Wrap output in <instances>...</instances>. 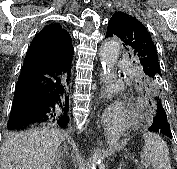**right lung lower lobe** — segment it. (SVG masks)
<instances>
[{"label":"right lung lower lobe","instance_id":"obj_1","mask_svg":"<svg viewBox=\"0 0 177 169\" xmlns=\"http://www.w3.org/2000/svg\"><path fill=\"white\" fill-rule=\"evenodd\" d=\"M71 63L26 58L15 88L8 130L49 122L67 126Z\"/></svg>","mask_w":177,"mask_h":169}]
</instances>
